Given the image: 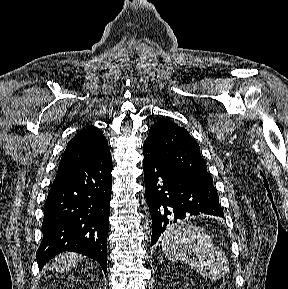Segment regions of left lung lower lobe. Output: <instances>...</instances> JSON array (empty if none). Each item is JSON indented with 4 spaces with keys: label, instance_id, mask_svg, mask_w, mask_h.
Listing matches in <instances>:
<instances>
[{
    "label": "left lung lower lobe",
    "instance_id": "obj_1",
    "mask_svg": "<svg viewBox=\"0 0 288 289\" xmlns=\"http://www.w3.org/2000/svg\"><path fill=\"white\" fill-rule=\"evenodd\" d=\"M145 196L152 218L151 245L172 223L200 213L224 217L213 185L194 179L159 159L143 145Z\"/></svg>",
    "mask_w": 288,
    "mask_h": 289
}]
</instances>
